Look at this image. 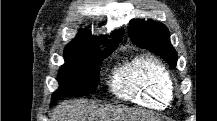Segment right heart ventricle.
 Wrapping results in <instances>:
<instances>
[{
	"label": "right heart ventricle",
	"instance_id": "right-heart-ventricle-1",
	"mask_svg": "<svg viewBox=\"0 0 217 121\" xmlns=\"http://www.w3.org/2000/svg\"><path fill=\"white\" fill-rule=\"evenodd\" d=\"M111 87L122 99L152 108H162L171 101V79L165 66L148 55L138 56L114 74Z\"/></svg>",
	"mask_w": 217,
	"mask_h": 121
}]
</instances>
